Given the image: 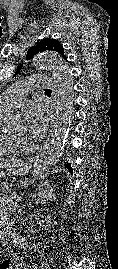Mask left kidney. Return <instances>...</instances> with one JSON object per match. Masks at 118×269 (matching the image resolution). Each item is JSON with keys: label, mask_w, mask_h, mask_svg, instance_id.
<instances>
[{"label": "left kidney", "mask_w": 118, "mask_h": 269, "mask_svg": "<svg viewBox=\"0 0 118 269\" xmlns=\"http://www.w3.org/2000/svg\"><path fill=\"white\" fill-rule=\"evenodd\" d=\"M36 190L38 192V195L43 199L50 201L56 199L55 191L53 190V188H51V186L47 182H40L37 185ZM36 221L39 226L47 228L51 223V216L37 218Z\"/></svg>", "instance_id": "left-kidney-1"}]
</instances>
